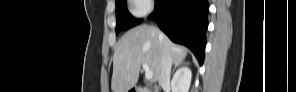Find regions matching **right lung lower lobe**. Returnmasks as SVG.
<instances>
[{"label":"right lung lower lobe","mask_w":296,"mask_h":92,"mask_svg":"<svg viewBox=\"0 0 296 92\" xmlns=\"http://www.w3.org/2000/svg\"><path fill=\"white\" fill-rule=\"evenodd\" d=\"M207 11V0H157L149 18L155 20L172 41L187 46L202 65Z\"/></svg>","instance_id":"obj_1"}]
</instances>
